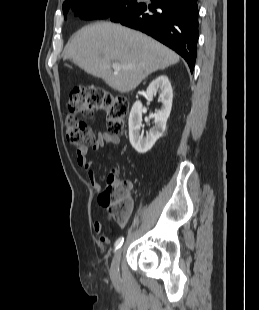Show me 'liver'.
Returning <instances> with one entry per match:
<instances>
[{
  "label": "liver",
  "mask_w": 259,
  "mask_h": 310,
  "mask_svg": "<svg viewBox=\"0 0 259 310\" xmlns=\"http://www.w3.org/2000/svg\"><path fill=\"white\" fill-rule=\"evenodd\" d=\"M63 56L121 93L132 91L151 73L179 62L175 52L151 37L108 22L80 29L67 43ZM111 62L130 68L113 71Z\"/></svg>",
  "instance_id": "1"
}]
</instances>
